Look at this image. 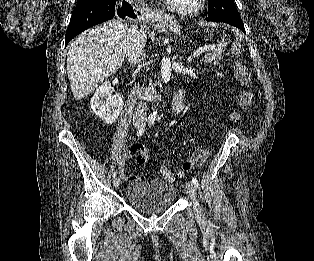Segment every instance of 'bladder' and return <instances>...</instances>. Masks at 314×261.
I'll use <instances>...</instances> for the list:
<instances>
[{
    "label": "bladder",
    "instance_id": "31cf9c89",
    "mask_svg": "<svg viewBox=\"0 0 314 261\" xmlns=\"http://www.w3.org/2000/svg\"><path fill=\"white\" fill-rule=\"evenodd\" d=\"M125 196L137 211L155 215L174 205L177 190L173 184L161 180L140 181L128 184Z\"/></svg>",
    "mask_w": 314,
    "mask_h": 261
}]
</instances>
